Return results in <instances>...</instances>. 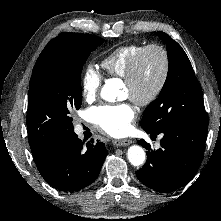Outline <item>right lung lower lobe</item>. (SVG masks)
I'll return each instance as SVG.
<instances>
[{
  "mask_svg": "<svg viewBox=\"0 0 221 221\" xmlns=\"http://www.w3.org/2000/svg\"><path fill=\"white\" fill-rule=\"evenodd\" d=\"M107 155L105 144L84 141L72 132L55 141L44 157L36 162L44 180L65 192L78 191L98 176Z\"/></svg>",
  "mask_w": 221,
  "mask_h": 221,
  "instance_id": "right-lung-lower-lobe-1",
  "label": "right lung lower lobe"
}]
</instances>
